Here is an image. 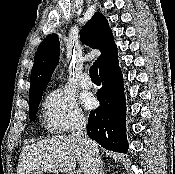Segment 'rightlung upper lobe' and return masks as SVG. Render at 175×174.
Instances as JSON below:
<instances>
[{"label":"right lung upper lobe","mask_w":175,"mask_h":174,"mask_svg":"<svg viewBox=\"0 0 175 174\" xmlns=\"http://www.w3.org/2000/svg\"><path fill=\"white\" fill-rule=\"evenodd\" d=\"M85 44L93 49H99L101 55L97 62L99 71L117 57V48L112 31L104 15L97 12L86 23L81 31ZM60 44L57 35L48 36L39 46L31 71L29 101L41 96L51 75L58 64Z\"/></svg>","instance_id":"obj_1"}]
</instances>
